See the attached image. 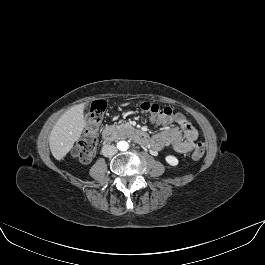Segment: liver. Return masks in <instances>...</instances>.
<instances>
[{
  "label": "liver",
  "instance_id": "liver-1",
  "mask_svg": "<svg viewBox=\"0 0 265 265\" xmlns=\"http://www.w3.org/2000/svg\"><path fill=\"white\" fill-rule=\"evenodd\" d=\"M83 110V104L70 108L53 126L49 135V146L56 160H61L79 140L85 126Z\"/></svg>",
  "mask_w": 265,
  "mask_h": 265
}]
</instances>
